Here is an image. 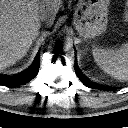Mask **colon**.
Wrapping results in <instances>:
<instances>
[{
	"label": "colon",
	"instance_id": "5ec220e1",
	"mask_svg": "<svg viewBox=\"0 0 128 128\" xmlns=\"http://www.w3.org/2000/svg\"><path fill=\"white\" fill-rule=\"evenodd\" d=\"M123 17H124V20L128 22V0H125Z\"/></svg>",
	"mask_w": 128,
	"mask_h": 128
}]
</instances>
